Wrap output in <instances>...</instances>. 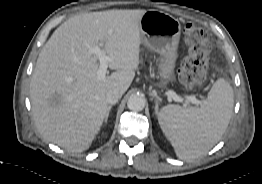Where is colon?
<instances>
[{
	"mask_svg": "<svg viewBox=\"0 0 262 184\" xmlns=\"http://www.w3.org/2000/svg\"><path fill=\"white\" fill-rule=\"evenodd\" d=\"M187 56L179 70L181 83L188 89L200 87L207 76L211 49L209 35L201 28L188 24L184 29Z\"/></svg>",
	"mask_w": 262,
	"mask_h": 184,
	"instance_id": "5ec220e1",
	"label": "colon"
}]
</instances>
